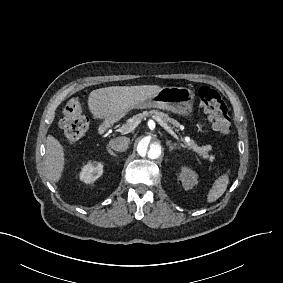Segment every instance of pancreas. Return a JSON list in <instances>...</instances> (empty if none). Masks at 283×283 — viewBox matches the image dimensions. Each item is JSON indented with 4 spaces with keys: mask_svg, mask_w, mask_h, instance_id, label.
Masks as SVG:
<instances>
[{
    "mask_svg": "<svg viewBox=\"0 0 283 283\" xmlns=\"http://www.w3.org/2000/svg\"><path fill=\"white\" fill-rule=\"evenodd\" d=\"M150 115H153L154 117H159L165 123L171 124L173 127H180V123L177 120L170 118L168 114L158 111V110H151L150 112L139 113L133 116L132 121H127V123L124 124L123 126L128 127V128L131 126H134L137 122L141 121L144 117H147ZM181 141L183 142L185 148L195 151L200 156H202L204 159H209L211 162L215 159L214 155L208 154V151L212 149L210 145L200 147L195 143L194 140H190L189 142H186L183 138H181Z\"/></svg>",
    "mask_w": 283,
    "mask_h": 283,
    "instance_id": "obj_1",
    "label": "pancreas"
}]
</instances>
